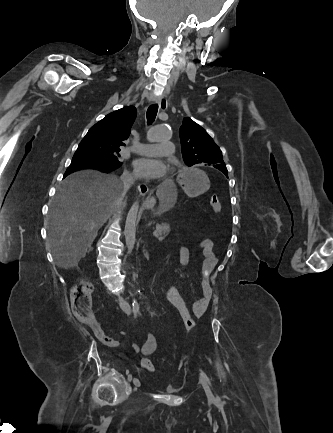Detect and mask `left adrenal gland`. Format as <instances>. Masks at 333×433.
<instances>
[{
  "label": "left adrenal gland",
  "mask_w": 333,
  "mask_h": 433,
  "mask_svg": "<svg viewBox=\"0 0 333 433\" xmlns=\"http://www.w3.org/2000/svg\"><path fill=\"white\" fill-rule=\"evenodd\" d=\"M144 252H145V248H144V250H143ZM146 255H147V252H146Z\"/></svg>",
  "instance_id": "left-adrenal-gland-1"
}]
</instances>
